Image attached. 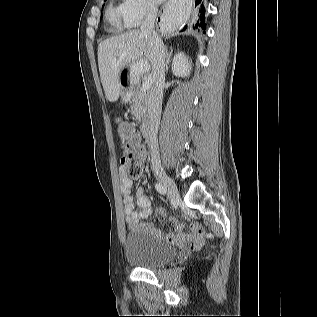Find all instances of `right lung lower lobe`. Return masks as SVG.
I'll return each mask as SVG.
<instances>
[{
  "label": "right lung lower lobe",
  "instance_id": "right-lung-lower-lobe-1",
  "mask_svg": "<svg viewBox=\"0 0 317 317\" xmlns=\"http://www.w3.org/2000/svg\"><path fill=\"white\" fill-rule=\"evenodd\" d=\"M195 11H196V17H197V21L196 23L193 25L194 29L196 28H201L203 30H205L206 25L204 22L205 19V6L203 4V0H195ZM187 26L184 27V29H186ZM205 33V31H204Z\"/></svg>",
  "mask_w": 317,
  "mask_h": 317
}]
</instances>
